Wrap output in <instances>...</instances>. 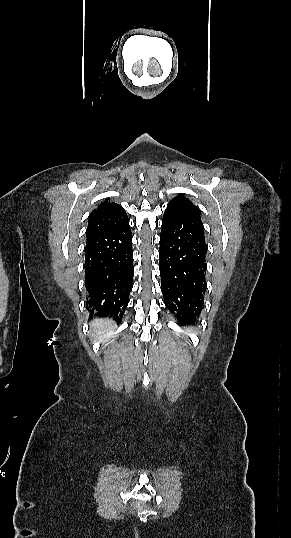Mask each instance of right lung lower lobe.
I'll use <instances>...</instances> for the list:
<instances>
[{
	"mask_svg": "<svg viewBox=\"0 0 291 538\" xmlns=\"http://www.w3.org/2000/svg\"><path fill=\"white\" fill-rule=\"evenodd\" d=\"M128 223L87 237L84 268L91 315L119 319L126 310L134 275Z\"/></svg>",
	"mask_w": 291,
	"mask_h": 538,
	"instance_id": "98d812e1",
	"label": "right lung lower lobe"
}]
</instances>
